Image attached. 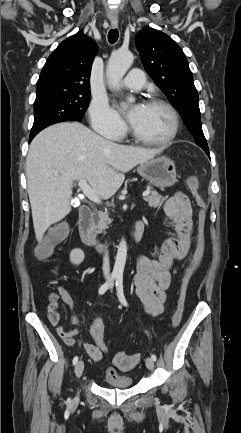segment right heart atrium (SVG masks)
<instances>
[{"label":"right heart atrium","instance_id":"d8ad5b80","mask_svg":"<svg viewBox=\"0 0 241 433\" xmlns=\"http://www.w3.org/2000/svg\"><path fill=\"white\" fill-rule=\"evenodd\" d=\"M92 128L109 139L120 140L126 132L121 116L104 99H95L89 108Z\"/></svg>","mask_w":241,"mask_h":433}]
</instances>
